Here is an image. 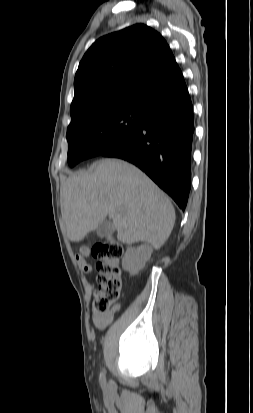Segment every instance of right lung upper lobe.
<instances>
[{"instance_id":"1","label":"right lung upper lobe","mask_w":253,"mask_h":413,"mask_svg":"<svg viewBox=\"0 0 253 413\" xmlns=\"http://www.w3.org/2000/svg\"><path fill=\"white\" fill-rule=\"evenodd\" d=\"M72 120L109 107L147 110L188 94L182 72L164 38L136 24L98 39L83 56L74 79Z\"/></svg>"}]
</instances>
